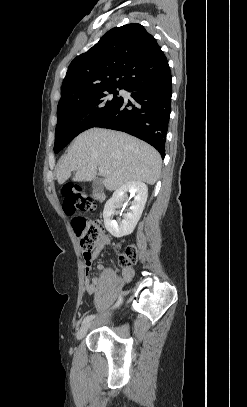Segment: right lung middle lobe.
Listing matches in <instances>:
<instances>
[{"label": "right lung middle lobe", "instance_id": "dd1d6c3e", "mask_svg": "<svg viewBox=\"0 0 247 407\" xmlns=\"http://www.w3.org/2000/svg\"><path fill=\"white\" fill-rule=\"evenodd\" d=\"M117 88L123 89V87H109L57 107L55 153L61 151L78 134L94 127L118 106L123 98L118 96Z\"/></svg>", "mask_w": 247, "mask_h": 407}]
</instances>
